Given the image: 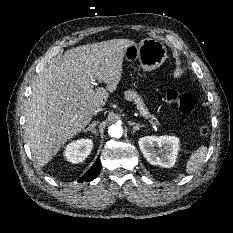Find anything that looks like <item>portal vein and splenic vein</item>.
I'll list each match as a JSON object with an SVG mask.
<instances>
[{
	"label": "portal vein and splenic vein",
	"mask_w": 233,
	"mask_h": 233,
	"mask_svg": "<svg viewBox=\"0 0 233 233\" xmlns=\"http://www.w3.org/2000/svg\"><path fill=\"white\" fill-rule=\"evenodd\" d=\"M157 125H160V123L158 121H154Z\"/></svg>",
	"instance_id": "18ae733b"
}]
</instances>
